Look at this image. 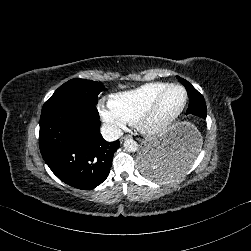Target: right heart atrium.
<instances>
[{"label": "right heart atrium", "instance_id": "right-heart-atrium-1", "mask_svg": "<svg viewBox=\"0 0 251 251\" xmlns=\"http://www.w3.org/2000/svg\"><path fill=\"white\" fill-rule=\"evenodd\" d=\"M97 110L102 120L115 135L122 134L128 126L135 122L134 118L122 110L114 96L101 98L97 103Z\"/></svg>", "mask_w": 251, "mask_h": 251}]
</instances>
